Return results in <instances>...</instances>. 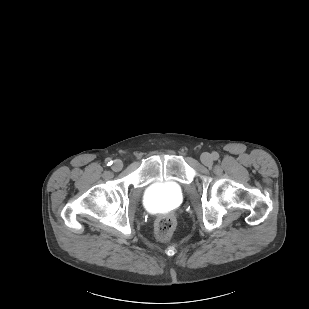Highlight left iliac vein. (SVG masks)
Instances as JSON below:
<instances>
[{"instance_id":"obj_1","label":"left iliac vein","mask_w":309,"mask_h":309,"mask_svg":"<svg viewBox=\"0 0 309 309\" xmlns=\"http://www.w3.org/2000/svg\"><path fill=\"white\" fill-rule=\"evenodd\" d=\"M201 162L206 166H211L213 164V158L209 153H203L201 155Z\"/></svg>"}]
</instances>
